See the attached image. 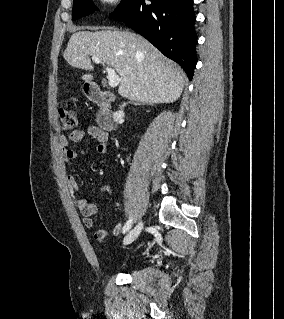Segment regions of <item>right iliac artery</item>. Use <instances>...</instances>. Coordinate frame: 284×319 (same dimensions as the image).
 I'll return each mask as SVG.
<instances>
[{
    "instance_id": "82829eb1",
    "label": "right iliac artery",
    "mask_w": 284,
    "mask_h": 319,
    "mask_svg": "<svg viewBox=\"0 0 284 319\" xmlns=\"http://www.w3.org/2000/svg\"><path fill=\"white\" fill-rule=\"evenodd\" d=\"M132 223H133V219L130 218L123 227V233L127 232L131 228Z\"/></svg>"
}]
</instances>
